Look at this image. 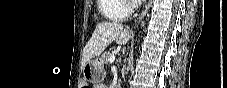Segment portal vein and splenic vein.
I'll return each instance as SVG.
<instances>
[{"label":"portal vein and splenic vein","instance_id":"1","mask_svg":"<svg viewBox=\"0 0 227 88\" xmlns=\"http://www.w3.org/2000/svg\"><path fill=\"white\" fill-rule=\"evenodd\" d=\"M115 61V55H112L111 57H110V59H109V62L110 63H113Z\"/></svg>","mask_w":227,"mask_h":88}]
</instances>
